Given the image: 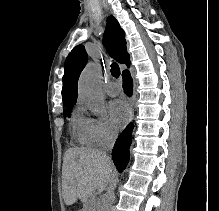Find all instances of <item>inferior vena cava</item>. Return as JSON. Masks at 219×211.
Instances as JSON below:
<instances>
[{"instance_id":"obj_1","label":"inferior vena cava","mask_w":219,"mask_h":211,"mask_svg":"<svg viewBox=\"0 0 219 211\" xmlns=\"http://www.w3.org/2000/svg\"><path fill=\"white\" fill-rule=\"evenodd\" d=\"M116 137H117V133H113V135H109L108 143H107L106 147H103V151H101V153H104V155H106V157H109V155H107V151H111V149L115 143Z\"/></svg>"}]
</instances>
